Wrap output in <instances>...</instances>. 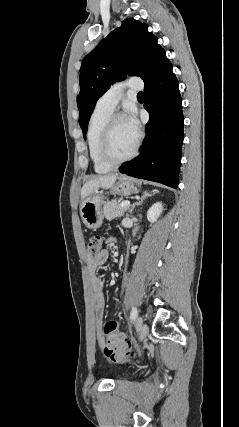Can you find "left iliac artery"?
I'll return each instance as SVG.
<instances>
[{
	"label": "left iliac artery",
	"instance_id": "left-iliac-artery-1",
	"mask_svg": "<svg viewBox=\"0 0 239 427\" xmlns=\"http://www.w3.org/2000/svg\"><path fill=\"white\" fill-rule=\"evenodd\" d=\"M137 316H138L137 308L132 307L131 314H130L131 320L134 321L137 318Z\"/></svg>",
	"mask_w": 239,
	"mask_h": 427
}]
</instances>
